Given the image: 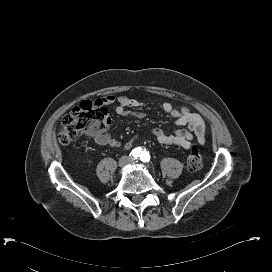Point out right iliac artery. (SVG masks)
I'll list each match as a JSON object with an SVG mask.
<instances>
[{"label":"right iliac artery","mask_w":272,"mask_h":272,"mask_svg":"<svg viewBox=\"0 0 272 272\" xmlns=\"http://www.w3.org/2000/svg\"><path fill=\"white\" fill-rule=\"evenodd\" d=\"M140 153H141V148L138 147L132 150V152L130 153V156L132 159H137L140 156Z\"/></svg>","instance_id":"1"}]
</instances>
